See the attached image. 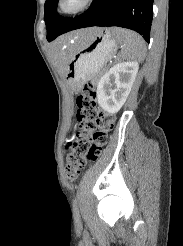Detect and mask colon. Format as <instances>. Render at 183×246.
I'll return each mask as SVG.
<instances>
[{
    "mask_svg": "<svg viewBox=\"0 0 183 246\" xmlns=\"http://www.w3.org/2000/svg\"><path fill=\"white\" fill-rule=\"evenodd\" d=\"M77 132L68 143L66 175L75 179L87 162L95 161L109 140V133L115 124V117L98 110L96 92L86 84L77 97Z\"/></svg>",
    "mask_w": 183,
    "mask_h": 246,
    "instance_id": "5ec220e1",
    "label": "colon"
}]
</instances>
